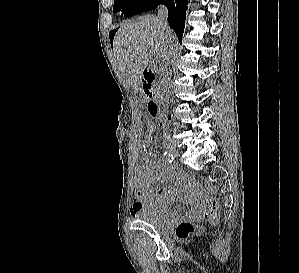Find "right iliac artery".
Returning a JSON list of instances; mask_svg holds the SVG:
<instances>
[{
	"label": "right iliac artery",
	"instance_id": "1",
	"mask_svg": "<svg viewBox=\"0 0 299 273\" xmlns=\"http://www.w3.org/2000/svg\"><path fill=\"white\" fill-rule=\"evenodd\" d=\"M163 156H164L165 160L168 161L169 163H172L174 161L173 155L167 151H165L163 153Z\"/></svg>",
	"mask_w": 299,
	"mask_h": 273
}]
</instances>
